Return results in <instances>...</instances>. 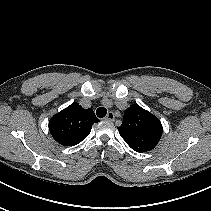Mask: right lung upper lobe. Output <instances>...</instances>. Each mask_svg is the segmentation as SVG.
I'll return each mask as SVG.
<instances>
[{
	"instance_id": "obj_1",
	"label": "right lung upper lobe",
	"mask_w": 211,
	"mask_h": 211,
	"mask_svg": "<svg viewBox=\"0 0 211 211\" xmlns=\"http://www.w3.org/2000/svg\"><path fill=\"white\" fill-rule=\"evenodd\" d=\"M99 122L91 108L84 109L77 102L72 103L49 121L53 138L63 146H74L84 140L92 125Z\"/></svg>"
}]
</instances>
